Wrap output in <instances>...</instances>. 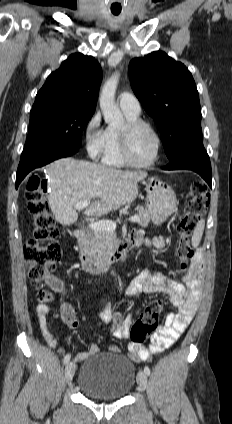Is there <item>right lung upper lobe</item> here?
I'll list each match as a JSON object with an SVG mask.
<instances>
[{"instance_id":"right-lung-upper-lobe-1","label":"right lung upper lobe","mask_w":232,"mask_h":424,"mask_svg":"<svg viewBox=\"0 0 232 424\" xmlns=\"http://www.w3.org/2000/svg\"><path fill=\"white\" fill-rule=\"evenodd\" d=\"M102 70L91 56L75 53L51 73L36 95L32 109L74 106L95 111Z\"/></svg>"}]
</instances>
